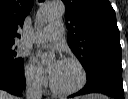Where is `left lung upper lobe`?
Returning a JSON list of instances; mask_svg holds the SVG:
<instances>
[{
    "label": "left lung upper lobe",
    "instance_id": "1",
    "mask_svg": "<svg viewBox=\"0 0 128 99\" xmlns=\"http://www.w3.org/2000/svg\"><path fill=\"white\" fill-rule=\"evenodd\" d=\"M68 44L84 69L99 56L121 58L115 11L108 0H63Z\"/></svg>",
    "mask_w": 128,
    "mask_h": 99
}]
</instances>
